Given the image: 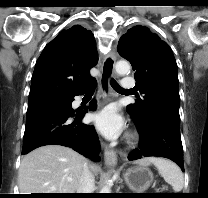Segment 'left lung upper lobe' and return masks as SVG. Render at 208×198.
Here are the masks:
<instances>
[{"label": "left lung upper lobe", "instance_id": "5c2ea615", "mask_svg": "<svg viewBox=\"0 0 208 198\" xmlns=\"http://www.w3.org/2000/svg\"><path fill=\"white\" fill-rule=\"evenodd\" d=\"M117 50L131 63L136 86L143 94L127 106L137 128L157 114L180 124L177 64L169 45L147 27L138 25L121 36Z\"/></svg>", "mask_w": 208, "mask_h": 198}]
</instances>
